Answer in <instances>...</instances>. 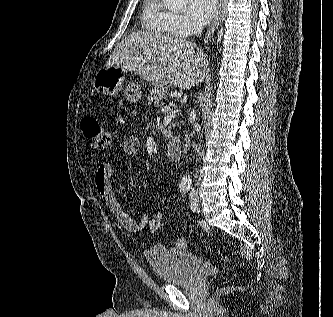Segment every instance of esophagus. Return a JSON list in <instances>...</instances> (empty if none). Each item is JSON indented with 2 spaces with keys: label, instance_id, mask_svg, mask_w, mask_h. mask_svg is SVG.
Masks as SVG:
<instances>
[{
  "label": "esophagus",
  "instance_id": "obj_1",
  "mask_svg": "<svg viewBox=\"0 0 333 317\" xmlns=\"http://www.w3.org/2000/svg\"><path fill=\"white\" fill-rule=\"evenodd\" d=\"M222 14H223V0H219L218 13H217L216 17L214 18L213 22L211 23V25L209 26V28L206 32L205 38H204L205 45L209 44L214 32L218 28V26L221 22Z\"/></svg>",
  "mask_w": 333,
  "mask_h": 317
}]
</instances>
